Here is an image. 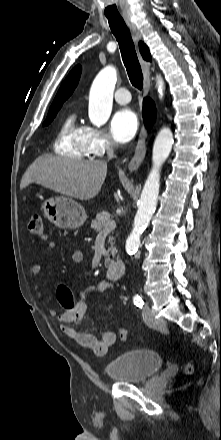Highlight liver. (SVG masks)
Segmentation results:
<instances>
[{
  "label": "liver",
  "mask_w": 221,
  "mask_h": 440,
  "mask_svg": "<svg viewBox=\"0 0 221 440\" xmlns=\"http://www.w3.org/2000/svg\"><path fill=\"white\" fill-rule=\"evenodd\" d=\"M106 175L107 163L102 160L44 155L26 170L20 188L36 183L69 197L90 200L99 193Z\"/></svg>",
  "instance_id": "liver-1"
}]
</instances>
